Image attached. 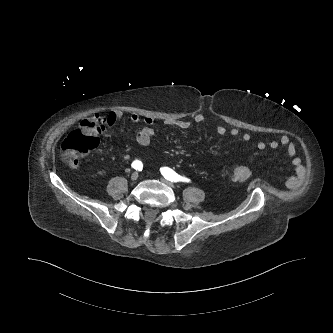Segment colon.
Instances as JSON below:
<instances>
[{
    "instance_id": "5ec220e1",
    "label": "colon",
    "mask_w": 333,
    "mask_h": 333,
    "mask_svg": "<svg viewBox=\"0 0 333 333\" xmlns=\"http://www.w3.org/2000/svg\"><path fill=\"white\" fill-rule=\"evenodd\" d=\"M113 121L111 115L107 118L94 115L83 120L79 127L72 131L62 143V158L70 167H76L81 157L97 147L99 136L106 125ZM232 177L237 182H245L251 176L248 167L239 165L232 170Z\"/></svg>"
}]
</instances>
